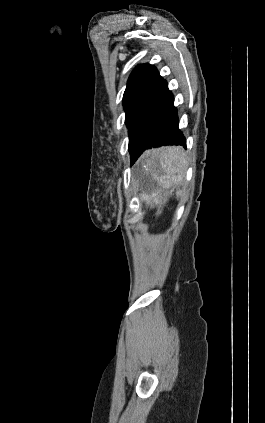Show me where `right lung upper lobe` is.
I'll use <instances>...</instances> for the list:
<instances>
[{
	"label": "right lung upper lobe",
	"mask_w": 265,
	"mask_h": 423,
	"mask_svg": "<svg viewBox=\"0 0 265 423\" xmlns=\"http://www.w3.org/2000/svg\"><path fill=\"white\" fill-rule=\"evenodd\" d=\"M162 80L154 66L150 64L138 66L128 79L123 100L133 96H148Z\"/></svg>",
	"instance_id": "obj_1"
}]
</instances>
